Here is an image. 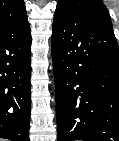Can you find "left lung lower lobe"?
Masks as SVG:
<instances>
[{
	"label": "left lung lower lobe",
	"instance_id": "obj_1",
	"mask_svg": "<svg viewBox=\"0 0 119 141\" xmlns=\"http://www.w3.org/2000/svg\"><path fill=\"white\" fill-rule=\"evenodd\" d=\"M58 141H119V49L111 21L56 12Z\"/></svg>",
	"mask_w": 119,
	"mask_h": 141
}]
</instances>
